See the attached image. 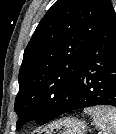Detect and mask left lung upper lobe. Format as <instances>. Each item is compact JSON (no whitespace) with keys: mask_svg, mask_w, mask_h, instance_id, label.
<instances>
[{"mask_svg":"<svg viewBox=\"0 0 116 134\" xmlns=\"http://www.w3.org/2000/svg\"><path fill=\"white\" fill-rule=\"evenodd\" d=\"M112 10L110 0H57L47 11L24 51L14 104L17 130L32 119L49 122L71 97L81 64Z\"/></svg>","mask_w":116,"mask_h":134,"instance_id":"left-lung-upper-lobe-1","label":"left lung upper lobe"}]
</instances>
